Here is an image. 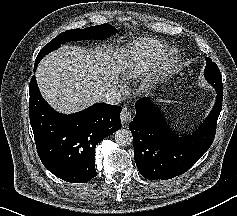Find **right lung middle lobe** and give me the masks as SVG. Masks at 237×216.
I'll use <instances>...</instances> for the list:
<instances>
[{
    "mask_svg": "<svg viewBox=\"0 0 237 216\" xmlns=\"http://www.w3.org/2000/svg\"><path fill=\"white\" fill-rule=\"evenodd\" d=\"M117 32V29L109 24H102L98 26H91L84 29H72L62 32L52 41H50L42 50L39 52L35 65L37 66L40 60L53 50L60 47L61 44L68 41H78L84 39H104L113 35Z\"/></svg>",
    "mask_w": 237,
    "mask_h": 216,
    "instance_id": "1",
    "label": "right lung middle lobe"
}]
</instances>
